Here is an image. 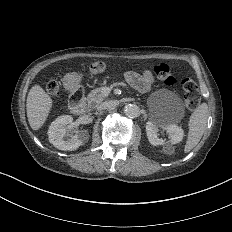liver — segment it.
Instances as JSON below:
<instances>
[{
    "mask_svg": "<svg viewBox=\"0 0 232 232\" xmlns=\"http://www.w3.org/2000/svg\"><path fill=\"white\" fill-rule=\"evenodd\" d=\"M52 107V97L39 84L33 85L26 103L27 118L33 131L39 130L45 124Z\"/></svg>",
    "mask_w": 232,
    "mask_h": 232,
    "instance_id": "obj_1",
    "label": "liver"
}]
</instances>
